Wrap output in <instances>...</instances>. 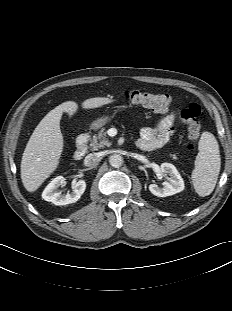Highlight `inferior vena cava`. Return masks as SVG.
I'll return each instance as SVG.
<instances>
[{
    "label": "inferior vena cava",
    "mask_w": 232,
    "mask_h": 311,
    "mask_svg": "<svg viewBox=\"0 0 232 311\" xmlns=\"http://www.w3.org/2000/svg\"><path fill=\"white\" fill-rule=\"evenodd\" d=\"M101 157L98 153H91L85 157V165L88 167H93L98 165Z\"/></svg>",
    "instance_id": "602c4592"
}]
</instances>
